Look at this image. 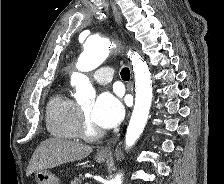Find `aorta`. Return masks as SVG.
Instances as JSON below:
<instances>
[{
	"instance_id": "762f6f07",
	"label": "aorta",
	"mask_w": 224,
	"mask_h": 184,
	"mask_svg": "<svg viewBox=\"0 0 224 184\" xmlns=\"http://www.w3.org/2000/svg\"><path fill=\"white\" fill-rule=\"evenodd\" d=\"M115 48V43L106 38L89 37L84 43V51L77 62L78 73L71 76V85L75 87V99L78 103H89L95 97V91L89 78L83 72L99 67ZM133 66L135 77V105L126 131V147H132L142 134L147 123L152 102V80L146 61L131 50L127 53ZM111 184H122V174L112 179Z\"/></svg>"
}]
</instances>
